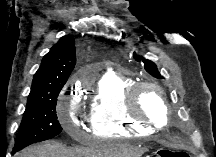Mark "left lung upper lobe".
<instances>
[{
    "instance_id": "obj_1",
    "label": "left lung upper lobe",
    "mask_w": 216,
    "mask_h": 157,
    "mask_svg": "<svg viewBox=\"0 0 216 157\" xmlns=\"http://www.w3.org/2000/svg\"><path fill=\"white\" fill-rule=\"evenodd\" d=\"M133 57L138 62H143L145 70L152 76L156 78H163L159 71L157 70V67L155 63H153L150 60H147L143 58L142 56L138 55L137 53H133Z\"/></svg>"
}]
</instances>
